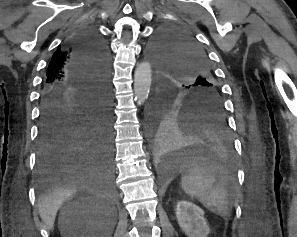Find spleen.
<instances>
[{"instance_id":"obj_1","label":"spleen","mask_w":297,"mask_h":237,"mask_svg":"<svg viewBox=\"0 0 297 237\" xmlns=\"http://www.w3.org/2000/svg\"><path fill=\"white\" fill-rule=\"evenodd\" d=\"M184 192L197 198L204 207L211 212L227 217L229 215V201L226 183L215 169L194 167L181 179Z\"/></svg>"}]
</instances>
